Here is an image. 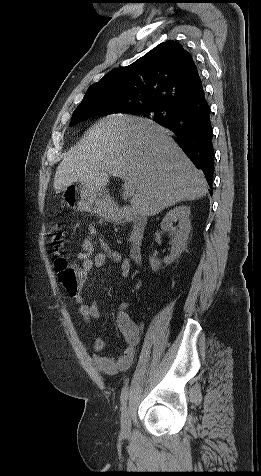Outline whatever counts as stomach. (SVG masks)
I'll list each match as a JSON object with an SVG mask.
<instances>
[{
	"label": "stomach",
	"instance_id": "obj_1",
	"mask_svg": "<svg viewBox=\"0 0 261 476\" xmlns=\"http://www.w3.org/2000/svg\"><path fill=\"white\" fill-rule=\"evenodd\" d=\"M63 197L73 210L90 212L104 219L115 218L112 199L104 188H95L84 182H76L63 190Z\"/></svg>",
	"mask_w": 261,
	"mask_h": 476
}]
</instances>
